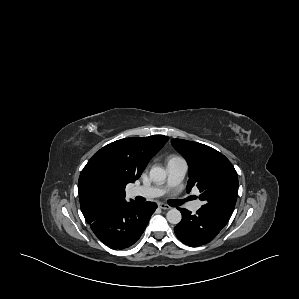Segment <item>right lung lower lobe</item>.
I'll return each mask as SVG.
<instances>
[{
    "label": "right lung lower lobe",
    "instance_id": "obj_1",
    "mask_svg": "<svg viewBox=\"0 0 299 299\" xmlns=\"http://www.w3.org/2000/svg\"><path fill=\"white\" fill-rule=\"evenodd\" d=\"M155 209V203L132 200L112 206H90L82 212L99 240L112 249H124L140 238Z\"/></svg>",
    "mask_w": 299,
    "mask_h": 299
}]
</instances>
